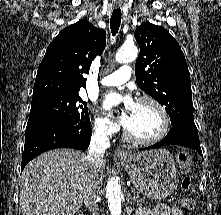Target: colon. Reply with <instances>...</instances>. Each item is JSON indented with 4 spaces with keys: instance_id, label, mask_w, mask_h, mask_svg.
Segmentation results:
<instances>
[{
    "instance_id": "1",
    "label": "colon",
    "mask_w": 221,
    "mask_h": 215,
    "mask_svg": "<svg viewBox=\"0 0 221 215\" xmlns=\"http://www.w3.org/2000/svg\"><path fill=\"white\" fill-rule=\"evenodd\" d=\"M177 163L180 168V170L184 173H188L190 170V166L192 163V156L190 153L186 151H181L177 155ZM191 186V180L189 176H185L182 180V188L184 190H188ZM179 205L187 210L191 211L194 208V201L191 198H183L180 202Z\"/></svg>"
}]
</instances>
